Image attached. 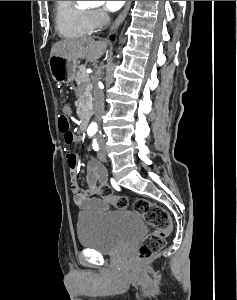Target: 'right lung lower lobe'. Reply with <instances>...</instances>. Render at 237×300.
<instances>
[{
	"label": "right lung lower lobe",
	"mask_w": 237,
	"mask_h": 300,
	"mask_svg": "<svg viewBox=\"0 0 237 300\" xmlns=\"http://www.w3.org/2000/svg\"><path fill=\"white\" fill-rule=\"evenodd\" d=\"M111 39L113 40V39H114V36H112Z\"/></svg>",
	"instance_id": "1"
}]
</instances>
